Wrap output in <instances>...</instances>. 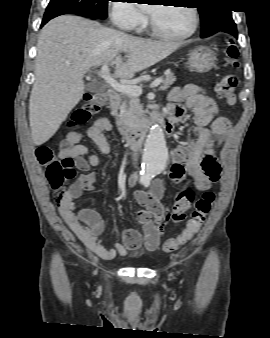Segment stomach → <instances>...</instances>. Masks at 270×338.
Segmentation results:
<instances>
[{
  "label": "stomach",
  "mask_w": 270,
  "mask_h": 338,
  "mask_svg": "<svg viewBox=\"0 0 270 338\" xmlns=\"http://www.w3.org/2000/svg\"><path fill=\"white\" fill-rule=\"evenodd\" d=\"M215 55L208 47L195 48L188 58V68L197 73H206L215 65Z\"/></svg>",
  "instance_id": "0dacf381"
}]
</instances>
